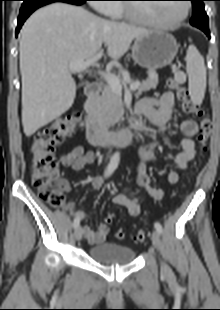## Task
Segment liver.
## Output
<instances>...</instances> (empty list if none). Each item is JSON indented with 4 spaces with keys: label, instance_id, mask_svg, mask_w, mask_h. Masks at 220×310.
Listing matches in <instances>:
<instances>
[{
    "label": "liver",
    "instance_id": "6515ba94",
    "mask_svg": "<svg viewBox=\"0 0 220 310\" xmlns=\"http://www.w3.org/2000/svg\"><path fill=\"white\" fill-rule=\"evenodd\" d=\"M148 32L65 3L33 13L22 28L19 45L25 135L30 137L72 106L76 84L70 63L94 57L103 44L116 62L136 37Z\"/></svg>",
    "mask_w": 220,
    "mask_h": 310
}]
</instances>
